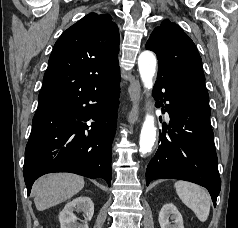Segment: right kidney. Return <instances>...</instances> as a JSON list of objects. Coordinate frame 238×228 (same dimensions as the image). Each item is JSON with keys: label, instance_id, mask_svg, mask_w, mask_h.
Segmentation results:
<instances>
[{"label": "right kidney", "instance_id": "ca27d5eb", "mask_svg": "<svg viewBox=\"0 0 238 228\" xmlns=\"http://www.w3.org/2000/svg\"><path fill=\"white\" fill-rule=\"evenodd\" d=\"M83 212L84 221L78 222V218L73 213L74 211ZM94 214V203L86 196H81L68 202L64 209L59 214L61 228H89L88 222Z\"/></svg>", "mask_w": 238, "mask_h": 228}]
</instances>
